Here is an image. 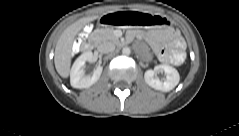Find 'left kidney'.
I'll list each match as a JSON object with an SVG mask.
<instances>
[{"instance_id": "left-kidney-1", "label": "left kidney", "mask_w": 239, "mask_h": 136, "mask_svg": "<svg viewBox=\"0 0 239 136\" xmlns=\"http://www.w3.org/2000/svg\"><path fill=\"white\" fill-rule=\"evenodd\" d=\"M164 71L166 78L160 80L156 77V73ZM145 82L152 88L164 92L172 90L180 81L178 71L172 66L161 64L155 66L154 70H147L144 74Z\"/></svg>"}]
</instances>
